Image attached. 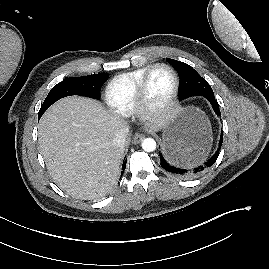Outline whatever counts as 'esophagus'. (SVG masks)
<instances>
[{
    "label": "esophagus",
    "instance_id": "1",
    "mask_svg": "<svg viewBox=\"0 0 269 269\" xmlns=\"http://www.w3.org/2000/svg\"><path fill=\"white\" fill-rule=\"evenodd\" d=\"M145 138V135L142 133H137L132 140V143L137 144L141 142Z\"/></svg>",
    "mask_w": 269,
    "mask_h": 269
}]
</instances>
